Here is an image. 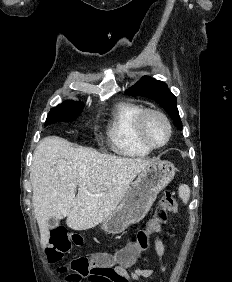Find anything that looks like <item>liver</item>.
Wrapping results in <instances>:
<instances>
[{
	"instance_id": "obj_1",
	"label": "liver",
	"mask_w": 232,
	"mask_h": 282,
	"mask_svg": "<svg viewBox=\"0 0 232 282\" xmlns=\"http://www.w3.org/2000/svg\"><path fill=\"white\" fill-rule=\"evenodd\" d=\"M152 162L76 148L57 136L42 139L30 168L41 244L46 246L50 239L51 217H67V226L74 230L90 229L107 219L135 177Z\"/></svg>"
}]
</instances>
